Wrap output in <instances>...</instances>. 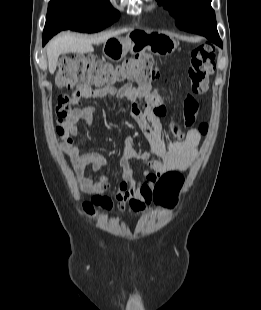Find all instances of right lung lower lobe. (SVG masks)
<instances>
[{"label": "right lung lower lobe", "mask_w": 261, "mask_h": 310, "mask_svg": "<svg viewBox=\"0 0 261 310\" xmlns=\"http://www.w3.org/2000/svg\"><path fill=\"white\" fill-rule=\"evenodd\" d=\"M61 31L60 29H56L50 32H43V45L46 44V42L53 36L55 35L57 32Z\"/></svg>", "instance_id": "1"}]
</instances>
